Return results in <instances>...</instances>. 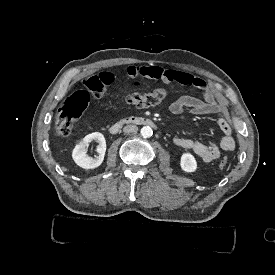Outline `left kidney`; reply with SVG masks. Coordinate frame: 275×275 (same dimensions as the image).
<instances>
[{
  "label": "left kidney",
  "instance_id": "1",
  "mask_svg": "<svg viewBox=\"0 0 275 275\" xmlns=\"http://www.w3.org/2000/svg\"><path fill=\"white\" fill-rule=\"evenodd\" d=\"M180 165L185 172H194L197 168V162L190 153H184L182 155Z\"/></svg>",
  "mask_w": 275,
  "mask_h": 275
}]
</instances>
